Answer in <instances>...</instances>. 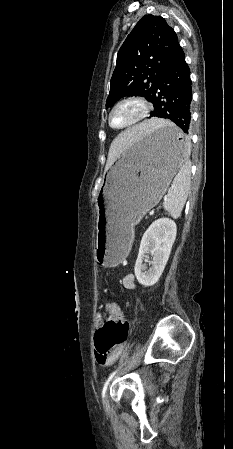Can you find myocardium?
<instances>
[{
    "mask_svg": "<svg viewBox=\"0 0 233 449\" xmlns=\"http://www.w3.org/2000/svg\"><path fill=\"white\" fill-rule=\"evenodd\" d=\"M127 103L138 104L140 107L139 114L137 115V117L134 120H132L131 122H129L123 126H114L112 124L113 112L121 105H124ZM150 109H151L150 103L145 98H143L141 96H127V97L121 98L120 100L115 102L113 104V106L111 107L109 114H108V123L111 128L116 129V130L127 129V128L133 127V126L139 124L141 121H143L147 117L148 113L150 112Z\"/></svg>",
    "mask_w": 233,
    "mask_h": 449,
    "instance_id": "myocardium-1",
    "label": "myocardium"
}]
</instances>
